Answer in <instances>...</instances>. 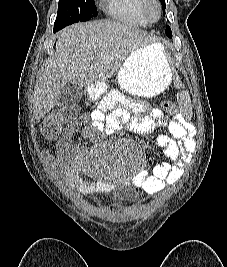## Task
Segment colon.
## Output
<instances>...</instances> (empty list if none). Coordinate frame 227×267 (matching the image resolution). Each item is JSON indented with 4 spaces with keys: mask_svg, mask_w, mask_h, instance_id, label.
I'll return each instance as SVG.
<instances>
[{
    "mask_svg": "<svg viewBox=\"0 0 227 267\" xmlns=\"http://www.w3.org/2000/svg\"><path fill=\"white\" fill-rule=\"evenodd\" d=\"M164 108L169 112H175L176 108L172 100H163ZM78 113L77 108L67 111L55 112L47 115L40 125L42 137L48 140H58L60 142L66 124Z\"/></svg>",
    "mask_w": 227,
    "mask_h": 267,
    "instance_id": "5ec220e1",
    "label": "colon"
}]
</instances>
